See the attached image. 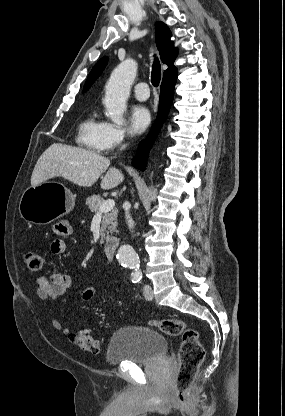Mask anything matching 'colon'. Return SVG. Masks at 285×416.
<instances>
[{
  "instance_id": "obj_1",
  "label": "colon",
  "mask_w": 285,
  "mask_h": 416,
  "mask_svg": "<svg viewBox=\"0 0 285 416\" xmlns=\"http://www.w3.org/2000/svg\"><path fill=\"white\" fill-rule=\"evenodd\" d=\"M24 263L28 272L36 275L44 266V257L37 251H28L24 255ZM93 295L94 289L87 288L83 293V300L89 301ZM149 324L169 336H181L179 367L172 386V397L177 406L185 407L189 403V389L205 357L198 331L179 319L151 320ZM70 339L83 351L90 353L100 351L101 340L92 336L87 330L70 334Z\"/></svg>"
}]
</instances>
